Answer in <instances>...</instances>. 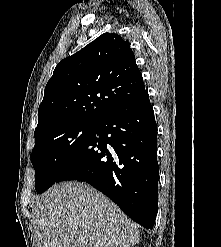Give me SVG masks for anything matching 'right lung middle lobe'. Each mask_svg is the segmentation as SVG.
Masks as SVG:
<instances>
[{
	"mask_svg": "<svg viewBox=\"0 0 221 247\" xmlns=\"http://www.w3.org/2000/svg\"><path fill=\"white\" fill-rule=\"evenodd\" d=\"M97 123L69 122L35 135L31 159L36 173L35 189L42 193L51 187L90 139Z\"/></svg>",
	"mask_w": 221,
	"mask_h": 247,
	"instance_id": "1",
	"label": "right lung middle lobe"
}]
</instances>
